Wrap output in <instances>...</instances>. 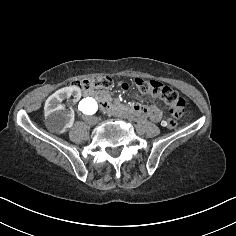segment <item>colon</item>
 Instances as JSON below:
<instances>
[{"mask_svg": "<svg viewBox=\"0 0 236 236\" xmlns=\"http://www.w3.org/2000/svg\"><path fill=\"white\" fill-rule=\"evenodd\" d=\"M136 88L142 93H151L163 99L168 105L170 117L164 121V126L173 129L177 125V120L182 117L186 109L185 100L172 88L155 80H145L137 78L134 81ZM72 85L82 90H96L108 88L112 85V79L108 76L95 75L83 79H77ZM122 88L127 90L129 85L122 83Z\"/></svg>", "mask_w": 236, "mask_h": 236, "instance_id": "colon-1", "label": "colon"}]
</instances>
